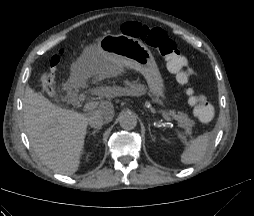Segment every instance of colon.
<instances>
[{
	"label": "colon",
	"instance_id": "5ec220e1",
	"mask_svg": "<svg viewBox=\"0 0 254 216\" xmlns=\"http://www.w3.org/2000/svg\"><path fill=\"white\" fill-rule=\"evenodd\" d=\"M124 34L133 38H138L146 42L150 47L157 50L159 54L167 60L168 68L177 72V78L180 82L186 83L190 78L188 70V61L178 50L175 42L169 38L167 33L157 27H149L135 22H127L123 25ZM59 63V57L52 58L51 67ZM55 83V73L51 70L42 81L44 89H52ZM189 101L193 107L194 116L201 122L208 123L214 118L213 105L200 96L195 90H188Z\"/></svg>",
	"mask_w": 254,
	"mask_h": 216
}]
</instances>
